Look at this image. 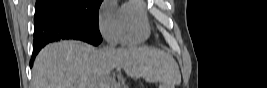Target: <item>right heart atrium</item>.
Masks as SVG:
<instances>
[{
    "mask_svg": "<svg viewBox=\"0 0 267 88\" xmlns=\"http://www.w3.org/2000/svg\"><path fill=\"white\" fill-rule=\"evenodd\" d=\"M98 25L101 35L110 45L121 41V9L111 1H105L99 11Z\"/></svg>",
    "mask_w": 267,
    "mask_h": 88,
    "instance_id": "1",
    "label": "right heart atrium"
}]
</instances>
